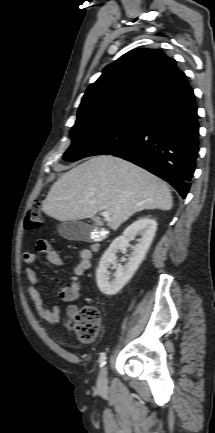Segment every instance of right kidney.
I'll return each instance as SVG.
<instances>
[{"mask_svg":"<svg viewBox=\"0 0 215 433\" xmlns=\"http://www.w3.org/2000/svg\"><path fill=\"white\" fill-rule=\"evenodd\" d=\"M156 229L157 223L155 220L149 217H143L126 228L122 236L113 240L109 248L103 254L96 272L97 285L103 294L114 295L118 293L131 279L144 259L153 241ZM137 235H140V239H138V243L133 246V252L128 258L127 264L125 266L117 264L116 253L121 251L125 254L129 240L135 238ZM111 264L116 267V272L115 278L110 281L108 268Z\"/></svg>","mask_w":215,"mask_h":433,"instance_id":"1","label":"right kidney"}]
</instances>
